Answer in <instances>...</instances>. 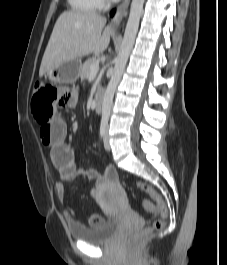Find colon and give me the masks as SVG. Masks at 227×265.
Here are the masks:
<instances>
[{"label": "colon", "mask_w": 227, "mask_h": 265, "mask_svg": "<svg viewBox=\"0 0 227 265\" xmlns=\"http://www.w3.org/2000/svg\"><path fill=\"white\" fill-rule=\"evenodd\" d=\"M59 99H63V96H61L60 90L56 86L44 82H37L35 84L32 98V112L40 126H45L46 120H51L55 105L59 103ZM137 186L143 192L149 194L154 201V203L145 201L143 203L144 209L149 213L157 214L158 217L143 231L128 237L127 243L129 244L138 240L143 234L161 229L167 216V206L156 189L144 182H138Z\"/></svg>", "instance_id": "obj_1"}]
</instances>
